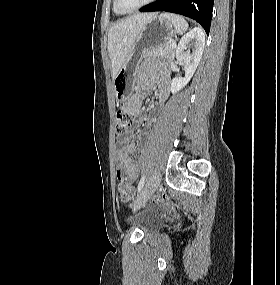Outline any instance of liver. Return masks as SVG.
<instances>
[{"label": "liver", "instance_id": "6515ba94", "mask_svg": "<svg viewBox=\"0 0 280 285\" xmlns=\"http://www.w3.org/2000/svg\"><path fill=\"white\" fill-rule=\"evenodd\" d=\"M156 13L135 14L114 24L108 32V51L114 79L131 52L142 28Z\"/></svg>", "mask_w": 280, "mask_h": 285}]
</instances>
